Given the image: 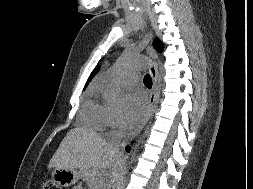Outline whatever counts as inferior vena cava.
I'll return each mask as SVG.
<instances>
[{"instance_id": "inferior-vena-cava-1", "label": "inferior vena cava", "mask_w": 253, "mask_h": 189, "mask_svg": "<svg viewBox=\"0 0 253 189\" xmlns=\"http://www.w3.org/2000/svg\"><path fill=\"white\" fill-rule=\"evenodd\" d=\"M112 147H113V149L115 150V151H117L118 152V148H119V142H115L113 145H111Z\"/></svg>"}]
</instances>
